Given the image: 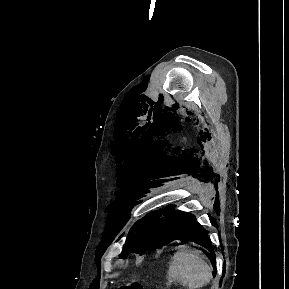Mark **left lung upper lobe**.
<instances>
[{"label":"left lung upper lobe","instance_id":"obj_1","mask_svg":"<svg viewBox=\"0 0 289 289\" xmlns=\"http://www.w3.org/2000/svg\"><path fill=\"white\" fill-rule=\"evenodd\" d=\"M163 212H151L134 224L120 258H126L132 252L143 254L150 247L159 248L168 242L167 218Z\"/></svg>","mask_w":289,"mask_h":289}]
</instances>
